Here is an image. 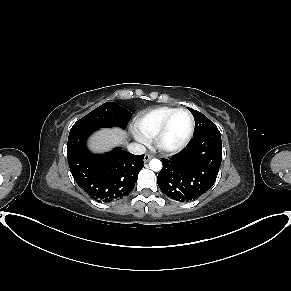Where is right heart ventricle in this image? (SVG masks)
<instances>
[{
    "label": "right heart ventricle",
    "mask_w": 291,
    "mask_h": 291,
    "mask_svg": "<svg viewBox=\"0 0 291 291\" xmlns=\"http://www.w3.org/2000/svg\"><path fill=\"white\" fill-rule=\"evenodd\" d=\"M176 108L158 107L138 117L137 128L146 139L155 138L166 117Z\"/></svg>",
    "instance_id": "obj_1"
}]
</instances>
